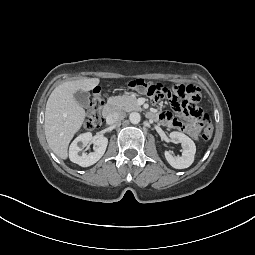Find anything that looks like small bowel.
<instances>
[{"instance_id":"small-bowel-1","label":"small bowel","mask_w":255,"mask_h":255,"mask_svg":"<svg viewBox=\"0 0 255 255\" xmlns=\"http://www.w3.org/2000/svg\"><path fill=\"white\" fill-rule=\"evenodd\" d=\"M153 117L157 118L166 127L176 128L192 136L200 132V126L198 124L190 120L177 119L176 117L173 116L171 112L168 111L161 113H153Z\"/></svg>"}]
</instances>
